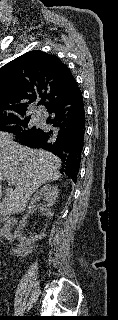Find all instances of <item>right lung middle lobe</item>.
Masks as SVG:
<instances>
[{"label": "right lung middle lobe", "mask_w": 118, "mask_h": 320, "mask_svg": "<svg viewBox=\"0 0 118 320\" xmlns=\"http://www.w3.org/2000/svg\"><path fill=\"white\" fill-rule=\"evenodd\" d=\"M40 129L30 123L26 117H5L0 119V131L10 132L16 135L17 140L34 135Z\"/></svg>", "instance_id": "right-lung-middle-lobe-1"}]
</instances>
